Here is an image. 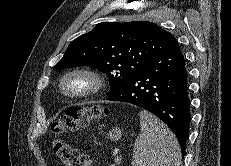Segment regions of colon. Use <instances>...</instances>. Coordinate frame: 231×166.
Masks as SVG:
<instances>
[{"mask_svg": "<svg viewBox=\"0 0 231 166\" xmlns=\"http://www.w3.org/2000/svg\"><path fill=\"white\" fill-rule=\"evenodd\" d=\"M107 114L108 110L99 105L73 107L54 124L53 132L56 137L53 140V149L63 166H92L91 158L74 149L63 135L87 127L90 121L100 119Z\"/></svg>", "mask_w": 231, "mask_h": 166, "instance_id": "1", "label": "colon"}]
</instances>
